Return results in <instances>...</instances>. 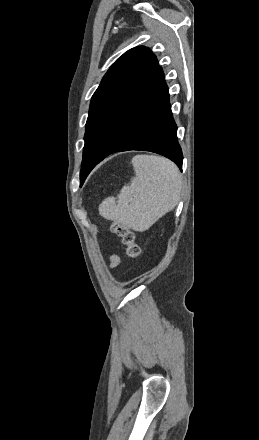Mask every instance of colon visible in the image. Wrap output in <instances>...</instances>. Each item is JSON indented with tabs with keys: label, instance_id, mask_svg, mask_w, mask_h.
<instances>
[{
	"label": "colon",
	"instance_id": "5ec220e1",
	"mask_svg": "<svg viewBox=\"0 0 259 440\" xmlns=\"http://www.w3.org/2000/svg\"><path fill=\"white\" fill-rule=\"evenodd\" d=\"M111 231L121 238L129 257L137 258L140 255V246L136 242L135 234L126 225L114 221L111 224Z\"/></svg>",
	"mask_w": 259,
	"mask_h": 440
}]
</instances>
